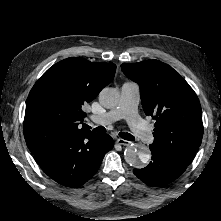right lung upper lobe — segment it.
Returning a JSON list of instances; mask_svg holds the SVG:
<instances>
[{
  "instance_id": "cb5924a9",
  "label": "right lung upper lobe",
  "mask_w": 221,
  "mask_h": 221,
  "mask_svg": "<svg viewBox=\"0 0 221 221\" xmlns=\"http://www.w3.org/2000/svg\"><path fill=\"white\" fill-rule=\"evenodd\" d=\"M115 70L113 63L71 57L56 63L39 78L27 98L23 125L32 154L90 131L83 124V106L113 80Z\"/></svg>"
}]
</instances>
